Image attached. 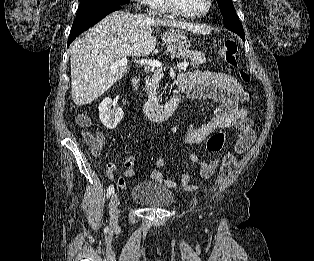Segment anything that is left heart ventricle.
I'll return each mask as SVG.
<instances>
[{"label":"left heart ventricle","mask_w":314,"mask_h":261,"mask_svg":"<svg viewBox=\"0 0 314 261\" xmlns=\"http://www.w3.org/2000/svg\"><path fill=\"white\" fill-rule=\"evenodd\" d=\"M177 4L190 13H199L205 10L208 0H175Z\"/></svg>","instance_id":"b2bd125f"}]
</instances>
